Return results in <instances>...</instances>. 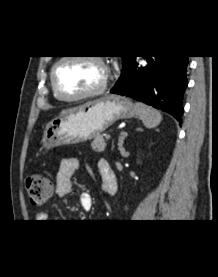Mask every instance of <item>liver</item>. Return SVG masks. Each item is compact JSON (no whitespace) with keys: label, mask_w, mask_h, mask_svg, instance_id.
I'll use <instances>...</instances> for the list:
<instances>
[{"label":"liver","mask_w":218,"mask_h":277,"mask_svg":"<svg viewBox=\"0 0 218 277\" xmlns=\"http://www.w3.org/2000/svg\"><path fill=\"white\" fill-rule=\"evenodd\" d=\"M77 108H71V109H66V110H63L61 113H60V116H63V115H66V114H69L73 111H75Z\"/></svg>","instance_id":"6515ba94"}]
</instances>
